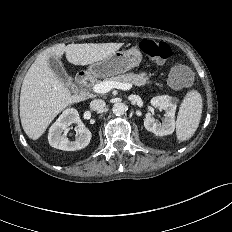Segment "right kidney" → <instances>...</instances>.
<instances>
[{
	"label": "right kidney",
	"mask_w": 232,
	"mask_h": 232,
	"mask_svg": "<svg viewBox=\"0 0 232 232\" xmlns=\"http://www.w3.org/2000/svg\"><path fill=\"white\" fill-rule=\"evenodd\" d=\"M77 124L78 138L75 141H69L62 132L71 124ZM92 134L80 120L78 111L73 108L66 109L59 116L56 122L50 127L48 141L50 146L64 150L76 151L85 148L91 140Z\"/></svg>",
	"instance_id": "right-kidney-1"
}]
</instances>
